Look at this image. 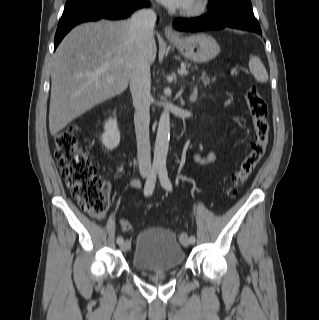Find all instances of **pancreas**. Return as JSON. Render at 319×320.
Here are the masks:
<instances>
[{
    "instance_id": "pancreas-1",
    "label": "pancreas",
    "mask_w": 319,
    "mask_h": 320,
    "mask_svg": "<svg viewBox=\"0 0 319 320\" xmlns=\"http://www.w3.org/2000/svg\"><path fill=\"white\" fill-rule=\"evenodd\" d=\"M185 67H191L190 63L185 62ZM200 80L204 83L205 86L209 85L210 83H213L215 81V78H210L206 72H203L201 76L199 77Z\"/></svg>"
}]
</instances>
